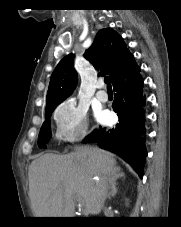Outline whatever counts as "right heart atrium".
<instances>
[{
  "label": "right heart atrium",
  "instance_id": "right-heart-atrium-1",
  "mask_svg": "<svg viewBox=\"0 0 181 227\" xmlns=\"http://www.w3.org/2000/svg\"><path fill=\"white\" fill-rule=\"evenodd\" d=\"M57 136L64 142L73 143L84 139L89 132L87 112L73 99L60 103L54 112Z\"/></svg>",
  "mask_w": 181,
  "mask_h": 227
}]
</instances>
